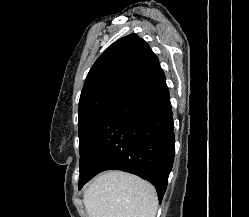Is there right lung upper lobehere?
Segmentation results:
<instances>
[{
	"label": "right lung upper lobe",
	"instance_id": "cb5924a9",
	"mask_svg": "<svg viewBox=\"0 0 249 217\" xmlns=\"http://www.w3.org/2000/svg\"><path fill=\"white\" fill-rule=\"evenodd\" d=\"M158 64L149 45L136 34L117 40L91 67L79 104L105 92H126Z\"/></svg>",
	"mask_w": 249,
	"mask_h": 217
}]
</instances>
